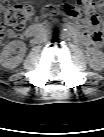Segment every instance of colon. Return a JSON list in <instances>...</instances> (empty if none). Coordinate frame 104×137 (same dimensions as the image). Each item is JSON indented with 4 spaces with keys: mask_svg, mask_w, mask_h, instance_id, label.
Segmentation results:
<instances>
[{
    "mask_svg": "<svg viewBox=\"0 0 104 137\" xmlns=\"http://www.w3.org/2000/svg\"><path fill=\"white\" fill-rule=\"evenodd\" d=\"M104 6V0H75V4L63 7L66 13L80 15L88 20L95 28L92 33V40L95 43L102 41L103 33L99 30L100 17L99 11ZM33 16V8L25 3L17 0H7L2 10V20L4 23L5 37H11L23 30L31 21Z\"/></svg>",
    "mask_w": 104,
    "mask_h": 137,
    "instance_id": "colon-1",
    "label": "colon"
}]
</instances>
